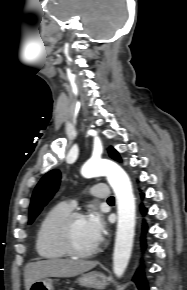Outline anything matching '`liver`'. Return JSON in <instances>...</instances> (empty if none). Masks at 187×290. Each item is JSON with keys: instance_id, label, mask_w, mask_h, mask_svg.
Segmentation results:
<instances>
[{"instance_id": "liver-1", "label": "liver", "mask_w": 187, "mask_h": 290, "mask_svg": "<svg viewBox=\"0 0 187 290\" xmlns=\"http://www.w3.org/2000/svg\"><path fill=\"white\" fill-rule=\"evenodd\" d=\"M96 261L48 259L28 263L24 270L25 289L46 277H73L94 268Z\"/></svg>"}]
</instances>
